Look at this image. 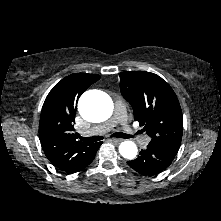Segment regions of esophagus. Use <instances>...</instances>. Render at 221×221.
<instances>
[{
  "instance_id": "34e87169",
  "label": "esophagus",
  "mask_w": 221,
  "mask_h": 221,
  "mask_svg": "<svg viewBox=\"0 0 221 221\" xmlns=\"http://www.w3.org/2000/svg\"><path fill=\"white\" fill-rule=\"evenodd\" d=\"M109 141L113 142V143H120L122 141V139L112 138V139H109Z\"/></svg>"
}]
</instances>
